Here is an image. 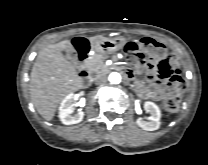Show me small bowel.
Listing matches in <instances>:
<instances>
[{"mask_svg":"<svg viewBox=\"0 0 208 165\" xmlns=\"http://www.w3.org/2000/svg\"><path fill=\"white\" fill-rule=\"evenodd\" d=\"M141 78L153 88L139 82L136 84V90L143 98L151 100L166 99L174 92L182 90L187 82L180 56L176 52H167L155 67H144Z\"/></svg>","mask_w":208,"mask_h":165,"instance_id":"1","label":"small bowel"}]
</instances>
